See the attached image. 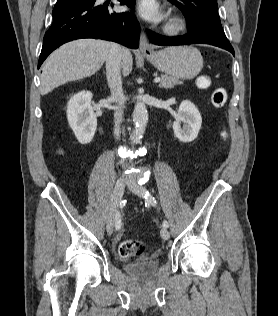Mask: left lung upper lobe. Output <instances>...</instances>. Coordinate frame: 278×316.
<instances>
[{"label":"left lung upper lobe","instance_id":"1","mask_svg":"<svg viewBox=\"0 0 278 316\" xmlns=\"http://www.w3.org/2000/svg\"><path fill=\"white\" fill-rule=\"evenodd\" d=\"M183 12L189 33L229 42L221 26L216 0H169Z\"/></svg>","mask_w":278,"mask_h":316}]
</instances>
